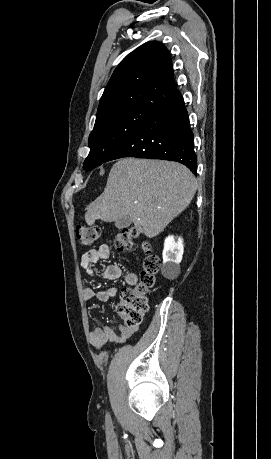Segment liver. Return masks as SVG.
I'll use <instances>...</instances> for the list:
<instances>
[{
	"label": "liver",
	"mask_w": 271,
	"mask_h": 459,
	"mask_svg": "<svg viewBox=\"0 0 271 459\" xmlns=\"http://www.w3.org/2000/svg\"><path fill=\"white\" fill-rule=\"evenodd\" d=\"M195 192L193 174L178 162L121 158L103 194L88 206L86 224L128 218L138 231L155 237L186 210Z\"/></svg>",
	"instance_id": "obj_1"
}]
</instances>
